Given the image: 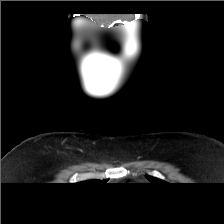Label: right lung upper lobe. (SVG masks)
<instances>
[{"label":"right lung upper lobe","mask_w":224,"mask_h":224,"mask_svg":"<svg viewBox=\"0 0 224 224\" xmlns=\"http://www.w3.org/2000/svg\"><path fill=\"white\" fill-rule=\"evenodd\" d=\"M98 181H87V182H84V183H96Z\"/></svg>","instance_id":"1"}]
</instances>
